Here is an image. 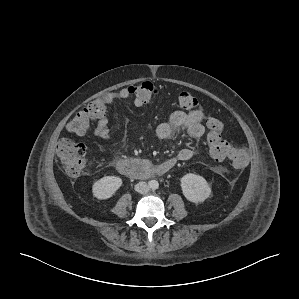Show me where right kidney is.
Here are the masks:
<instances>
[{
    "instance_id": "ca27d5eb",
    "label": "right kidney",
    "mask_w": 299,
    "mask_h": 299,
    "mask_svg": "<svg viewBox=\"0 0 299 299\" xmlns=\"http://www.w3.org/2000/svg\"><path fill=\"white\" fill-rule=\"evenodd\" d=\"M121 185L122 179L120 177L105 176L93 184L92 193L97 199L105 200L112 197Z\"/></svg>"
}]
</instances>
